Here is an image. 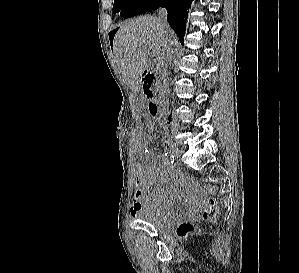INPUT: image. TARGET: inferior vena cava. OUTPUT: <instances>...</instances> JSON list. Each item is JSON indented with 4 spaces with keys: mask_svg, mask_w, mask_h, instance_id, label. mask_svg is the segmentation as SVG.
<instances>
[{
    "mask_svg": "<svg viewBox=\"0 0 299 273\" xmlns=\"http://www.w3.org/2000/svg\"><path fill=\"white\" fill-rule=\"evenodd\" d=\"M158 20L160 22V24L163 26V28H168V24H167V11L166 9H159L158 12ZM172 54V47H170L164 57V61L161 64V90L163 93H165L167 91V60L170 58Z\"/></svg>",
    "mask_w": 299,
    "mask_h": 273,
    "instance_id": "1",
    "label": "inferior vena cava"
}]
</instances>
